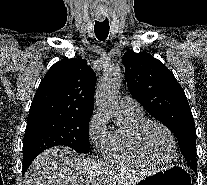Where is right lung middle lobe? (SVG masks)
I'll use <instances>...</instances> for the list:
<instances>
[{
    "instance_id": "right-lung-middle-lobe-1",
    "label": "right lung middle lobe",
    "mask_w": 207,
    "mask_h": 185,
    "mask_svg": "<svg viewBox=\"0 0 207 185\" xmlns=\"http://www.w3.org/2000/svg\"><path fill=\"white\" fill-rule=\"evenodd\" d=\"M89 118L29 114L23 139V173L45 149L65 145L78 153L89 152Z\"/></svg>"
}]
</instances>
